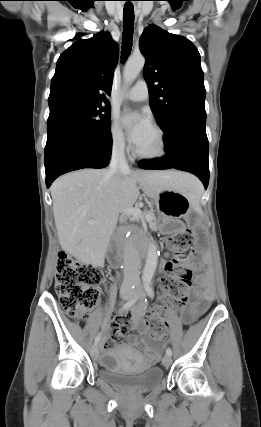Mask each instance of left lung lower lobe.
<instances>
[{
    "mask_svg": "<svg viewBox=\"0 0 261 427\" xmlns=\"http://www.w3.org/2000/svg\"><path fill=\"white\" fill-rule=\"evenodd\" d=\"M206 112L183 110L174 115L163 128L166 155L162 158L142 160L143 169L175 168L196 175L204 184L209 182V144L205 131Z\"/></svg>",
    "mask_w": 261,
    "mask_h": 427,
    "instance_id": "left-lung-lower-lobe-1",
    "label": "left lung lower lobe"
}]
</instances>
